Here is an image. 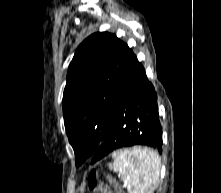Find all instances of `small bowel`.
<instances>
[{"label": "small bowel", "instance_id": "1", "mask_svg": "<svg viewBox=\"0 0 221 193\" xmlns=\"http://www.w3.org/2000/svg\"><path fill=\"white\" fill-rule=\"evenodd\" d=\"M102 193H113V192L111 191V189L108 186L103 185L102 186Z\"/></svg>", "mask_w": 221, "mask_h": 193}]
</instances>
